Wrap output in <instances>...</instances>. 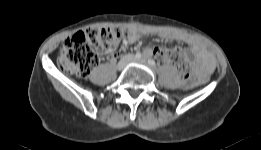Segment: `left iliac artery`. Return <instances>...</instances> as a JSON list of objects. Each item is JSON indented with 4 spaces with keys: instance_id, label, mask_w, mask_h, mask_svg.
Wrapping results in <instances>:
<instances>
[{
    "instance_id": "left-iliac-artery-1",
    "label": "left iliac artery",
    "mask_w": 261,
    "mask_h": 150,
    "mask_svg": "<svg viewBox=\"0 0 261 150\" xmlns=\"http://www.w3.org/2000/svg\"><path fill=\"white\" fill-rule=\"evenodd\" d=\"M148 64L152 67H156V63L153 59H148Z\"/></svg>"
}]
</instances>
